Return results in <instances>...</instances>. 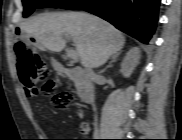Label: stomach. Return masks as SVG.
<instances>
[{
    "mask_svg": "<svg viewBox=\"0 0 182 140\" xmlns=\"http://www.w3.org/2000/svg\"><path fill=\"white\" fill-rule=\"evenodd\" d=\"M19 29V26H16ZM15 36H18V41H25L24 31H15Z\"/></svg>",
    "mask_w": 182,
    "mask_h": 140,
    "instance_id": "stomach-1",
    "label": "stomach"
}]
</instances>
